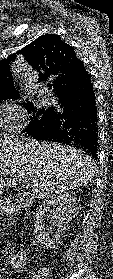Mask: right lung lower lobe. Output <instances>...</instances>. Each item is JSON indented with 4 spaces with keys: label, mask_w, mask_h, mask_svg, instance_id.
<instances>
[{
    "label": "right lung lower lobe",
    "mask_w": 113,
    "mask_h": 279,
    "mask_svg": "<svg viewBox=\"0 0 113 279\" xmlns=\"http://www.w3.org/2000/svg\"><path fill=\"white\" fill-rule=\"evenodd\" d=\"M60 107L47 123L26 133L38 140L81 148L97 160V106L90 76L76 92L60 99Z\"/></svg>",
    "instance_id": "98d812e1"
}]
</instances>
